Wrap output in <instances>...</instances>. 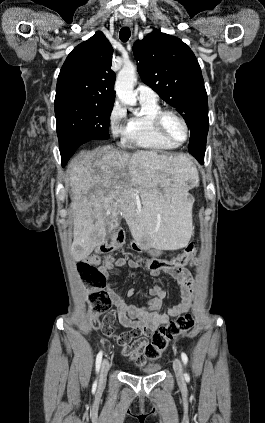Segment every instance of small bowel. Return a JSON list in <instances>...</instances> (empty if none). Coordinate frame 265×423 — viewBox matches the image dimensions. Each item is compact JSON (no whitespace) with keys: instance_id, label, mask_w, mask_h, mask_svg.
Wrapping results in <instances>:
<instances>
[{"instance_id":"c3829d8e","label":"small bowel","mask_w":265,"mask_h":423,"mask_svg":"<svg viewBox=\"0 0 265 423\" xmlns=\"http://www.w3.org/2000/svg\"><path fill=\"white\" fill-rule=\"evenodd\" d=\"M193 265L196 260L193 257L190 261ZM128 266L132 269H138L143 264L135 259L119 258L114 262H108L99 267L105 280L109 278L110 271ZM165 273L171 276L178 284L179 291L182 295V301L171 307L166 314H159L158 310L162 306V300L165 298V291L158 285H153L149 288V295L151 298L143 305H136L128 303L123 295L116 289L108 287V293L113 306L116 309V317L119 323L131 329L130 333L124 334L117 338V343L123 347V354L127 357L134 358L139 363H144L141 354L147 340L141 335L148 334L156 330L159 326L169 322L171 318L177 317L186 313L192 304V296L195 286V277L193 273L186 267L178 271H164L151 272L152 277H158ZM128 297L134 296V290L129 289ZM133 340V342H132Z\"/></svg>"}]
</instances>
